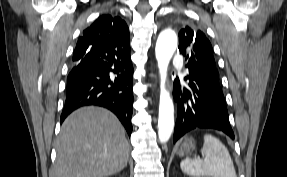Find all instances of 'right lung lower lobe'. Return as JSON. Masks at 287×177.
<instances>
[{"mask_svg": "<svg viewBox=\"0 0 287 177\" xmlns=\"http://www.w3.org/2000/svg\"><path fill=\"white\" fill-rule=\"evenodd\" d=\"M112 72L114 75L110 76ZM133 66L129 39L94 42L85 58L75 62L67 77L61 123L82 106L97 105L111 110L132 133Z\"/></svg>", "mask_w": 287, "mask_h": 177, "instance_id": "right-lung-lower-lobe-1", "label": "right lung lower lobe"}]
</instances>
